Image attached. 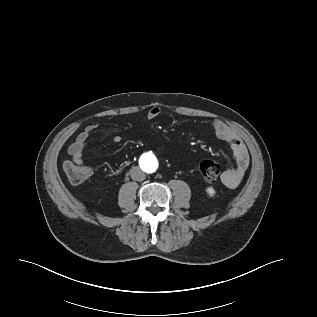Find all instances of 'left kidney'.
I'll return each mask as SVG.
<instances>
[{
  "label": "left kidney",
  "instance_id": "5707ae66",
  "mask_svg": "<svg viewBox=\"0 0 317 317\" xmlns=\"http://www.w3.org/2000/svg\"><path fill=\"white\" fill-rule=\"evenodd\" d=\"M206 191L210 196H213L215 194V190L212 187H208Z\"/></svg>",
  "mask_w": 317,
  "mask_h": 317
}]
</instances>
